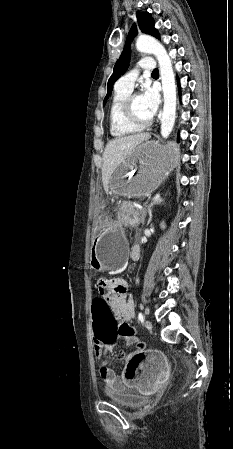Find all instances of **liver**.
Listing matches in <instances>:
<instances>
[{
  "mask_svg": "<svg viewBox=\"0 0 233 449\" xmlns=\"http://www.w3.org/2000/svg\"><path fill=\"white\" fill-rule=\"evenodd\" d=\"M151 137L150 133L118 137L105 147L103 153L102 182L106 193H109V183L115 170L131 155L136 147Z\"/></svg>",
  "mask_w": 233,
  "mask_h": 449,
  "instance_id": "1",
  "label": "liver"
}]
</instances>
